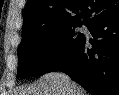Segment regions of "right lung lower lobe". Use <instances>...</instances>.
Instances as JSON below:
<instances>
[{
  "mask_svg": "<svg viewBox=\"0 0 119 95\" xmlns=\"http://www.w3.org/2000/svg\"><path fill=\"white\" fill-rule=\"evenodd\" d=\"M87 27L95 41L84 36L49 72L66 73L92 95H119V13Z\"/></svg>",
  "mask_w": 119,
  "mask_h": 95,
  "instance_id": "obj_1",
  "label": "right lung lower lobe"
}]
</instances>
